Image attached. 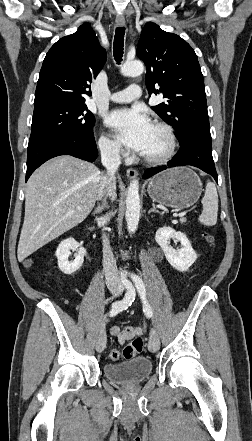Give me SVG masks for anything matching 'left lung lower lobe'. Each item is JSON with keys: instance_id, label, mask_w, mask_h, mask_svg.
I'll list each match as a JSON object with an SVG mask.
<instances>
[{"instance_id": "left-lung-lower-lobe-1", "label": "left lung lower lobe", "mask_w": 252, "mask_h": 441, "mask_svg": "<svg viewBox=\"0 0 252 441\" xmlns=\"http://www.w3.org/2000/svg\"><path fill=\"white\" fill-rule=\"evenodd\" d=\"M178 153L167 165L150 168L143 178L147 179L160 171L176 166L191 165L210 174L217 182L218 176L212 157L211 135L207 132H193L180 143Z\"/></svg>"}]
</instances>
